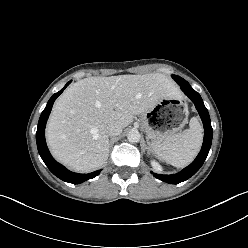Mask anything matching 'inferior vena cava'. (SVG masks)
Listing matches in <instances>:
<instances>
[{
    "instance_id": "602c4592",
    "label": "inferior vena cava",
    "mask_w": 248,
    "mask_h": 248,
    "mask_svg": "<svg viewBox=\"0 0 248 248\" xmlns=\"http://www.w3.org/2000/svg\"><path fill=\"white\" fill-rule=\"evenodd\" d=\"M108 136H117L122 133V127L116 123H111L106 127Z\"/></svg>"
}]
</instances>
